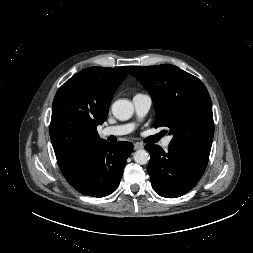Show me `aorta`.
Returning a JSON list of instances; mask_svg holds the SVG:
<instances>
[{
    "mask_svg": "<svg viewBox=\"0 0 253 253\" xmlns=\"http://www.w3.org/2000/svg\"><path fill=\"white\" fill-rule=\"evenodd\" d=\"M133 112V104L126 99L117 100L112 104V113L118 120L125 121L130 119ZM149 158V153L144 149H139L134 153V161L137 164L145 165L148 163Z\"/></svg>",
    "mask_w": 253,
    "mask_h": 253,
    "instance_id": "obj_1",
    "label": "aorta"
}]
</instances>
